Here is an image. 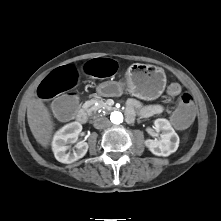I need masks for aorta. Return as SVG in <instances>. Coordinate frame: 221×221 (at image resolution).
<instances>
[{"label":"aorta","instance_id":"aorta-1","mask_svg":"<svg viewBox=\"0 0 221 221\" xmlns=\"http://www.w3.org/2000/svg\"><path fill=\"white\" fill-rule=\"evenodd\" d=\"M123 119V114L119 111H114L110 115V120L113 124H121Z\"/></svg>","mask_w":221,"mask_h":221}]
</instances>
